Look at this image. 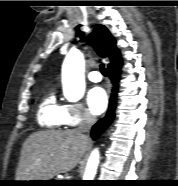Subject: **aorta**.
Segmentation results:
<instances>
[{
    "instance_id": "aorta-1",
    "label": "aorta",
    "mask_w": 178,
    "mask_h": 186,
    "mask_svg": "<svg viewBox=\"0 0 178 186\" xmlns=\"http://www.w3.org/2000/svg\"><path fill=\"white\" fill-rule=\"evenodd\" d=\"M84 56L78 50L70 51L62 66V85L65 98L76 102L82 98L85 91ZM99 164V150L92 151L87 162L83 180H94Z\"/></svg>"
}]
</instances>
